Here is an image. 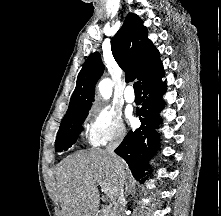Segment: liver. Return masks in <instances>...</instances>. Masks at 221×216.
Instances as JSON below:
<instances>
[{
	"label": "liver",
	"mask_w": 221,
	"mask_h": 216,
	"mask_svg": "<svg viewBox=\"0 0 221 216\" xmlns=\"http://www.w3.org/2000/svg\"><path fill=\"white\" fill-rule=\"evenodd\" d=\"M56 178L62 216H96L98 185L111 190L114 197L118 195L119 176L114 159L106 150L79 151L67 156L58 164Z\"/></svg>",
	"instance_id": "6515ba94"
}]
</instances>
